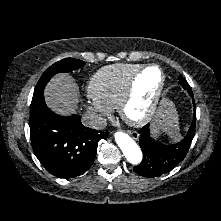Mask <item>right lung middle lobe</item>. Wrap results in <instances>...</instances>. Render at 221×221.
<instances>
[{"label":"right lung middle lobe","mask_w":221,"mask_h":221,"mask_svg":"<svg viewBox=\"0 0 221 221\" xmlns=\"http://www.w3.org/2000/svg\"><path fill=\"white\" fill-rule=\"evenodd\" d=\"M85 63L78 59L65 58L51 65L39 79L33 94V98H36L40 93L44 91V88L51 77L60 72H70L72 70L81 68ZM32 98V99H33Z\"/></svg>","instance_id":"obj_1"}]
</instances>
